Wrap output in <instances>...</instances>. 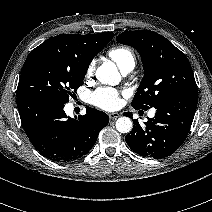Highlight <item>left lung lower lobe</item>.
<instances>
[{"instance_id":"1","label":"left lung lower lobe","mask_w":212,"mask_h":212,"mask_svg":"<svg viewBox=\"0 0 212 212\" xmlns=\"http://www.w3.org/2000/svg\"><path fill=\"white\" fill-rule=\"evenodd\" d=\"M197 101L198 94L175 96L155 107V116L148 118L144 127L135 119L132 131L125 136L128 146L143 157H168L186 139Z\"/></svg>"}]
</instances>
